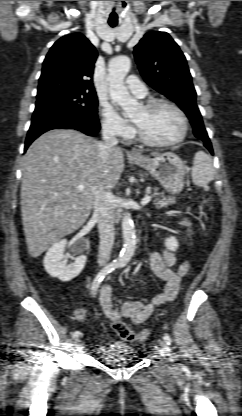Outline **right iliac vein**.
Listing matches in <instances>:
<instances>
[{
	"label": "right iliac vein",
	"instance_id": "1",
	"mask_svg": "<svg viewBox=\"0 0 242 416\" xmlns=\"http://www.w3.org/2000/svg\"><path fill=\"white\" fill-rule=\"evenodd\" d=\"M80 344H81L80 339H76V340L74 341V347H75V348H79V347H80Z\"/></svg>",
	"mask_w": 242,
	"mask_h": 416
}]
</instances>
